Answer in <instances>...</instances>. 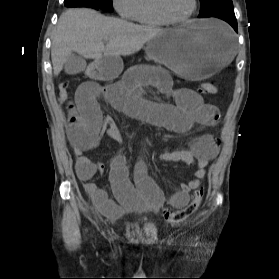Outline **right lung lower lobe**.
Returning a JSON list of instances; mask_svg holds the SVG:
<instances>
[{"label":"right lung lower lobe","instance_id":"obj_1","mask_svg":"<svg viewBox=\"0 0 279 279\" xmlns=\"http://www.w3.org/2000/svg\"><path fill=\"white\" fill-rule=\"evenodd\" d=\"M66 7H90L98 9L99 7L90 0H64Z\"/></svg>","mask_w":279,"mask_h":279}]
</instances>
